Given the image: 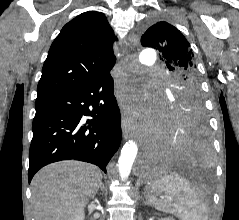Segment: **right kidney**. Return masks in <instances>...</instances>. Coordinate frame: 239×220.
Returning a JSON list of instances; mask_svg holds the SVG:
<instances>
[{
	"label": "right kidney",
	"instance_id": "right-kidney-1",
	"mask_svg": "<svg viewBox=\"0 0 239 220\" xmlns=\"http://www.w3.org/2000/svg\"><path fill=\"white\" fill-rule=\"evenodd\" d=\"M74 220H84V211H79Z\"/></svg>",
	"mask_w": 239,
	"mask_h": 220
}]
</instances>
